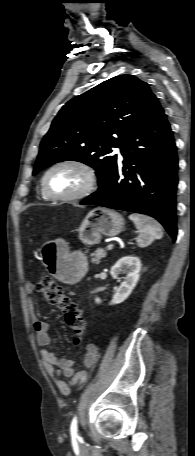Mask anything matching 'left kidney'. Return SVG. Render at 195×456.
I'll use <instances>...</instances> for the list:
<instances>
[{
	"instance_id": "left-kidney-1",
	"label": "left kidney",
	"mask_w": 195,
	"mask_h": 456,
	"mask_svg": "<svg viewBox=\"0 0 195 456\" xmlns=\"http://www.w3.org/2000/svg\"><path fill=\"white\" fill-rule=\"evenodd\" d=\"M141 270V261L138 257L125 256L119 259L116 264L111 268V276L118 279L120 274L125 275L124 281L121 282L118 289L115 291L113 298L110 302L113 304H120L125 301L132 293L139 280V272ZM96 303H100V298H95Z\"/></svg>"
}]
</instances>
